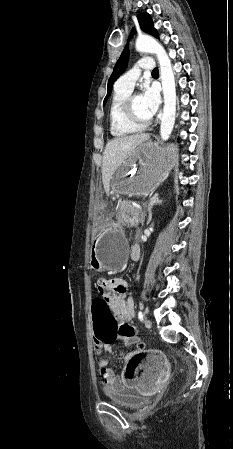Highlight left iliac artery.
<instances>
[{"mask_svg":"<svg viewBox=\"0 0 233 449\" xmlns=\"http://www.w3.org/2000/svg\"><path fill=\"white\" fill-rule=\"evenodd\" d=\"M143 318H144V314H143V312L140 310L139 312H138V319H139V321H143Z\"/></svg>","mask_w":233,"mask_h":449,"instance_id":"obj_1","label":"left iliac artery"}]
</instances>
